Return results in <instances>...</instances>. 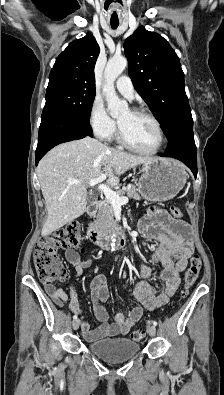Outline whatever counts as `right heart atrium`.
<instances>
[{
  "label": "right heart atrium",
  "mask_w": 224,
  "mask_h": 395,
  "mask_svg": "<svg viewBox=\"0 0 224 395\" xmlns=\"http://www.w3.org/2000/svg\"><path fill=\"white\" fill-rule=\"evenodd\" d=\"M89 125L101 139L111 138L116 131V122L108 115L101 99L95 98L90 106Z\"/></svg>",
  "instance_id": "1"
}]
</instances>
